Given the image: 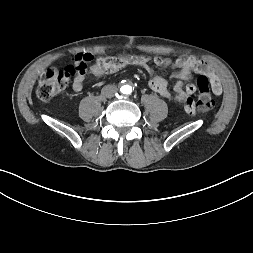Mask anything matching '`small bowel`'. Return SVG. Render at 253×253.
I'll return each instance as SVG.
<instances>
[{
  "label": "small bowel",
  "mask_w": 253,
  "mask_h": 253,
  "mask_svg": "<svg viewBox=\"0 0 253 253\" xmlns=\"http://www.w3.org/2000/svg\"><path fill=\"white\" fill-rule=\"evenodd\" d=\"M90 54H77L75 60L89 58ZM153 62L156 66L165 67L172 65L177 71L173 74L175 80L173 85L174 94L171 93L168 83L162 76L154 75L153 68L150 63ZM127 66H137L146 70L151 78L148 80V87L158 95L166 99H175L183 101V111L187 117H195L198 114L197 99L194 95L197 92V87L193 83L187 85L184 81L187 80L192 72H197L207 75L210 78L212 89L216 95L221 93V85L219 81L211 74L208 67L195 57H181L175 61H171L164 57H154L153 59L147 56H130L121 55L117 57H98L94 60L90 67V73L96 77H101L106 74L117 73ZM85 74L77 75L73 81L72 88L75 92L83 90Z\"/></svg>",
  "instance_id": "1"
}]
</instances>
